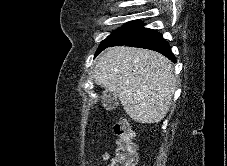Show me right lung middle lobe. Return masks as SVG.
<instances>
[{
	"mask_svg": "<svg viewBox=\"0 0 227 166\" xmlns=\"http://www.w3.org/2000/svg\"><path fill=\"white\" fill-rule=\"evenodd\" d=\"M141 25L139 21H132L124 25L123 27L115 30L111 35H109L104 41H102L101 45L97 50V54L101 52L107 45L110 43L120 39L121 37L125 36L135 28Z\"/></svg>",
	"mask_w": 227,
	"mask_h": 166,
	"instance_id": "1",
	"label": "right lung middle lobe"
}]
</instances>
